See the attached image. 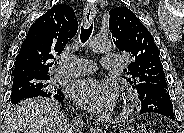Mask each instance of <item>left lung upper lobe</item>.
<instances>
[{
	"label": "left lung upper lobe",
	"instance_id": "1",
	"mask_svg": "<svg viewBox=\"0 0 184 133\" xmlns=\"http://www.w3.org/2000/svg\"><path fill=\"white\" fill-rule=\"evenodd\" d=\"M109 15V29L114 44L132 58L124 72L129 75L127 81L137 91L140 100L155 87L168 89L159 50L148 29L127 7L112 9ZM155 98L160 100L161 95Z\"/></svg>",
	"mask_w": 184,
	"mask_h": 133
}]
</instances>
